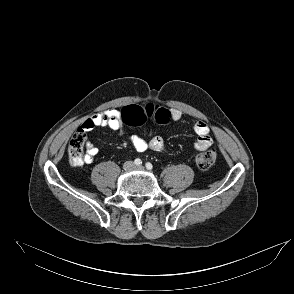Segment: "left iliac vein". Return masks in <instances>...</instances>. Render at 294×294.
Returning <instances> with one entry per match:
<instances>
[{
  "label": "left iliac vein",
  "mask_w": 294,
  "mask_h": 294,
  "mask_svg": "<svg viewBox=\"0 0 294 294\" xmlns=\"http://www.w3.org/2000/svg\"><path fill=\"white\" fill-rule=\"evenodd\" d=\"M134 169L143 170V167L142 166H135Z\"/></svg>",
  "instance_id": "4c4485c4"
}]
</instances>
